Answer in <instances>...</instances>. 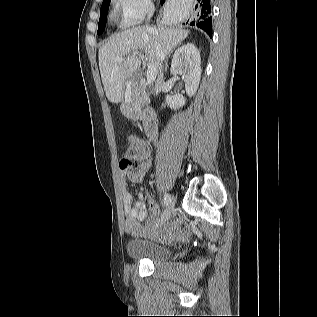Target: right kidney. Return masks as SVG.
Segmentation results:
<instances>
[{
	"mask_svg": "<svg viewBox=\"0 0 317 317\" xmlns=\"http://www.w3.org/2000/svg\"><path fill=\"white\" fill-rule=\"evenodd\" d=\"M200 65V52L192 43L178 48L173 55L171 74L182 76L189 97H192L198 89L202 72ZM185 101L186 99L181 94L166 96L168 106L174 110L185 105Z\"/></svg>",
	"mask_w": 317,
	"mask_h": 317,
	"instance_id": "obj_1",
	"label": "right kidney"
}]
</instances>
